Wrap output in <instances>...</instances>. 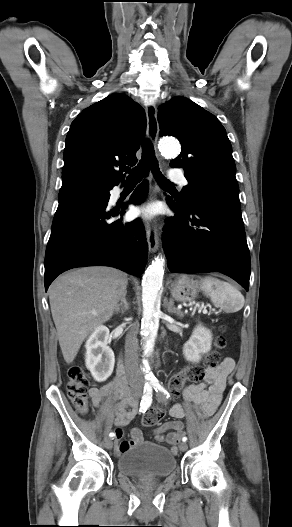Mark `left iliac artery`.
Here are the masks:
<instances>
[{
    "label": "left iliac artery",
    "instance_id": "left-iliac-artery-1",
    "mask_svg": "<svg viewBox=\"0 0 292 527\" xmlns=\"http://www.w3.org/2000/svg\"><path fill=\"white\" fill-rule=\"evenodd\" d=\"M152 386H153V388L155 389L156 392H161L164 395H167V398H168V396H169L168 392L165 390L163 385L158 380L153 381L152 382ZM182 441L186 442L187 441V437H183Z\"/></svg>",
    "mask_w": 292,
    "mask_h": 527
}]
</instances>
